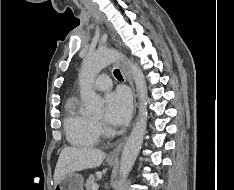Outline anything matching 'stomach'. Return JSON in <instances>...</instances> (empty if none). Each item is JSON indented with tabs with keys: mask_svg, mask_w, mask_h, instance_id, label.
Masks as SVG:
<instances>
[{
	"mask_svg": "<svg viewBox=\"0 0 234 190\" xmlns=\"http://www.w3.org/2000/svg\"><path fill=\"white\" fill-rule=\"evenodd\" d=\"M115 164V161H109ZM54 190H83V177L80 174L71 172L64 175L55 185Z\"/></svg>",
	"mask_w": 234,
	"mask_h": 190,
	"instance_id": "stomach-1",
	"label": "stomach"
}]
</instances>
